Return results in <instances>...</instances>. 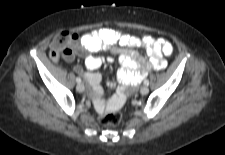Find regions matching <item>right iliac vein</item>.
Wrapping results in <instances>:
<instances>
[{
  "instance_id": "63e3f726",
  "label": "right iliac vein",
  "mask_w": 225,
  "mask_h": 155,
  "mask_svg": "<svg viewBox=\"0 0 225 155\" xmlns=\"http://www.w3.org/2000/svg\"><path fill=\"white\" fill-rule=\"evenodd\" d=\"M84 89H85L84 84H82V83H78V84H77L76 90H77L78 92H83Z\"/></svg>"
}]
</instances>
